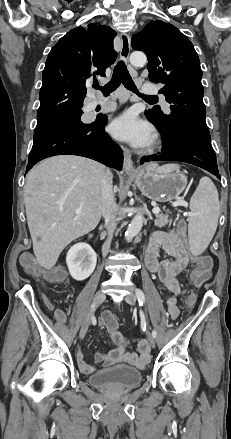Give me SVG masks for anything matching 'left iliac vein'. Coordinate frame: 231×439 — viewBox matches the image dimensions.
Listing matches in <instances>:
<instances>
[{
    "mask_svg": "<svg viewBox=\"0 0 231 439\" xmlns=\"http://www.w3.org/2000/svg\"><path fill=\"white\" fill-rule=\"evenodd\" d=\"M124 299L130 305H135L136 301H137V297H136V295L134 293H129L127 296H125ZM148 340H149V343H150L151 347H154L155 346V339H154V337L149 335L148 336Z\"/></svg>",
    "mask_w": 231,
    "mask_h": 439,
    "instance_id": "1",
    "label": "left iliac vein"
}]
</instances>
